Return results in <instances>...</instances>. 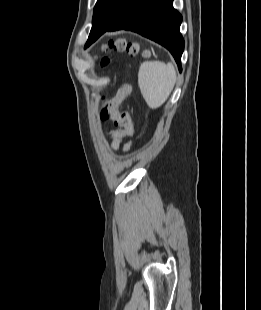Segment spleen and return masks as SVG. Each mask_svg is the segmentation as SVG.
<instances>
[{"label":"spleen","instance_id":"1","mask_svg":"<svg viewBox=\"0 0 261 310\" xmlns=\"http://www.w3.org/2000/svg\"><path fill=\"white\" fill-rule=\"evenodd\" d=\"M175 82L176 72L172 63L145 61L140 64L138 85L151 109L160 107L167 100Z\"/></svg>","mask_w":261,"mask_h":310}]
</instances>
